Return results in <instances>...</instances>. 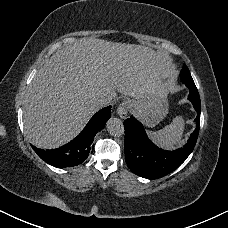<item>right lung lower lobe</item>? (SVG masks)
<instances>
[{
  "instance_id": "right-lung-lower-lobe-1",
  "label": "right lung lower lobe",
  "mask_w": 228,
  "mask_h": 228,
  "mask_svg": "<svg viewBox=\"0 0 228 228\" xmlns=\"http://www.w3.org/2000/svg\"><path fill=\"white\" fill-rule=\"evenodd\" d=\"M111 116V106L98 111L88 122L83 131L68 144L53 150H42L32 146L38 156L48 164L58 167H72L82 163L93 149L96 133L103 129Z\"/></svg>"
}]
</instances>
